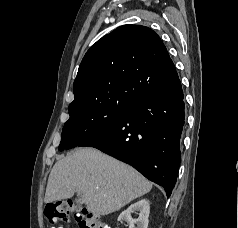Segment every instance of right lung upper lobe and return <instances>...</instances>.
Returning a JSON list of instances; mask_svg holds the SVG:
<instances>
[{
    "label": "right lung upper lobe",
    "mask_w": 238,
    "mask_h": 228,
    "mask_svg": "<svg viewBox=\"0 0 238 228\" xmlns=\"http://www.w3.org/2000/svg\"><path fill=\"white\" fill-rule=\"evenodd\" d=\"M179 81L160 37L141 25H123L85 54L73 84L69 113L94 105L130 104Z\"/></svg>",
    "instance_id": "obj_1"
}]
</instances>
